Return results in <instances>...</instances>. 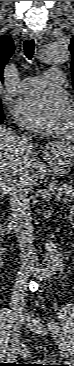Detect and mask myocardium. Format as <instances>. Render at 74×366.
Segmentation results:
<instances>
[{
  "mask_svg": "<svg viewBox=\"0 0 74 366\" xmlns=\"http://www.w3.org/2000/svg\"><path fill=\"white\" fill-rule=\"evenodd\" d=\"M70 125H71V128L68 129V131L74 132V111L73 110H72V113H71V123H70Z\"/></svg>",
  "mask_w": 74,
  "mask_h": 366,
  "instance_id": "obj_1",
  "label": "myocardium"
}]
</instances>
